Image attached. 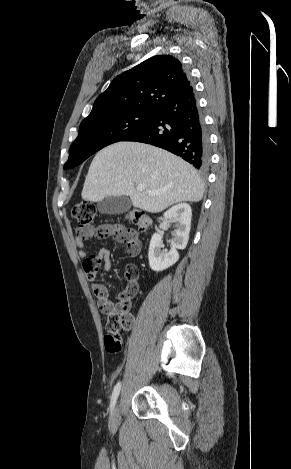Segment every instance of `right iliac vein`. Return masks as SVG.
Listing matches in <instances>:
<instances>
[{"instance_id": "obj_1", "label": "right iliac vein", "mask_w": 291, "mask_h": 469, "mask_svg": "<svg viewBox=\"0 0 291 469\" xmlns=\"http://www.w3.org/2000/svg\"><path fill=\"white\" fill-rule=\"evenodd\" d=\"M120 413H121V405L117 404L113 410L112 414V423L114 426L118 424L119 418H120Z\"/></svg>"}]
</instances>
